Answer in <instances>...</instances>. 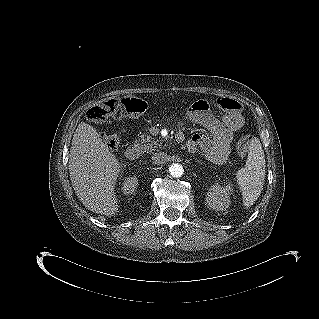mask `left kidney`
<instances>
[{
    "mask_svg": "<svg viewBox=\"0 0 319 319\" xmlns=\"http://www.w3.org/2000/svg\"><path fill=\"white\" fill-rule=\"evenodd\" d=\"M231 194L232 187L230 184L226 186L215 184L209 189L206 202L215 211H225L231 204Z\"/></svg>",
    "mask_w": 319,
    "mask_h": 319,
    "instance_id": "obj_1",
    "label": "left kidney"
}]
</instances>
